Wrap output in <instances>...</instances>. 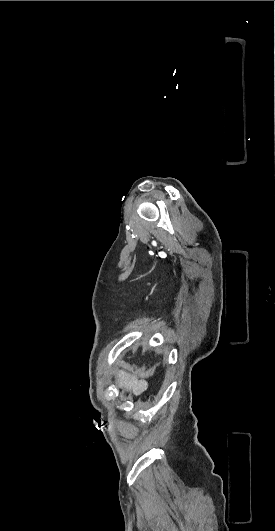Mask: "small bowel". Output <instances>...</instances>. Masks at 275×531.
<instances>
[{
	"instance_id": "obj_1",
	"label": "small bowel",
	"mask_w": 275,
	"mask_h": 531,
	"mask_svg": "<svg viewBox=\"0 0 275 531\" xmlns=\"http://www.w3.org/2000/svg\"><path fill=\"white\" fill-rule=\"evenodd\" d=\"M116 378L122 387L130 390L135 395L143 394L148 386L145 379L137 378L124 371L117 372Z\"/></svg>"
}]
</instances>
